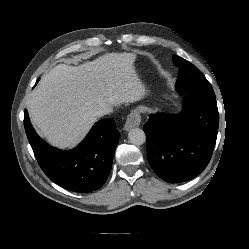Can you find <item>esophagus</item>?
<instances>
[{
  "label": "esophagus",
  "mask_w": 249,
  "mask_h": 249,
  "mask_svg": "<svg viewBox=\"0 0 249 249\" xmlns=\"http://www.w3.org/2000/svg\"><path fill=\"white\" fill-rule=\"evenodd\" d=\"M141 124V116L137 110L132 111L124 124V130L129 131Z\"/></svg>",
  "instance_id": "34e87169"
}]
</instances>
